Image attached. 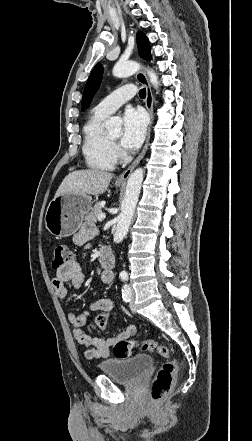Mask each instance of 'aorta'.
Listing matches in <instances>:
<instances>
[{
	"instance_id": "1",
	"label": "aorta",
	"mask_w": 252,
	"mask_h": 441,
	"mask_svg": "<svg viewBox=\"0 0 252 441\" xmlns=\"http://www.w3.org/2000/svg\"><path fill=\"white\" fill-rule=\"evenodd\" d=\"M140 69V65L135 61H119L113 68V75L118 78L128 77L136 73ZM150 83L158 89V76L152 70L146 69ZM108 130H116L121 127V120L111 117L105 123ZM144 170L136 169L128 178L125 196L122 202L121 213L117 217V227L114 234V242L119 243L126 236L131 220L133 218L135 208L139 199L141 185L143 182Z\"/></svg>"
}]
</instances>
